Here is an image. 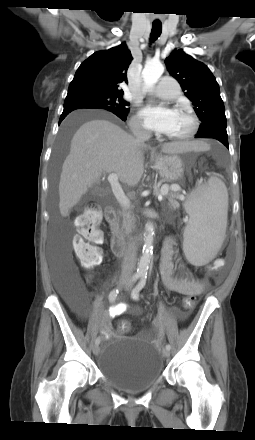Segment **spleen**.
Segmentation results:
<instances>
[{
	"label": "spleen",
	"instance_id": "spleen-1",
	"mask_svg": "<svg viewBox=\"0 0 255 440\" xmlns=\"http://www.w3.org/2000/svg\"><path fill=\"white\" fill-rule=\"evenodd\" d=\"M189 225L184 229L183 250L194 265H204L220 249L227 227L228 193L225 184L212 177L195 189L185 202Z\"/></svg>",
	"mask_w": 255,
	"mask_h": 440
}]
</instances>
